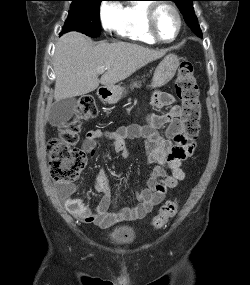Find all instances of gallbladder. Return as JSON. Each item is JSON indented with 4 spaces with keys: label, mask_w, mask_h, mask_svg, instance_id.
Returning a JSON list of instances; mask_svg holds the SVG:
<instances>
[{
    "label": "gallbladder",
    "mask_w": 250,
    "mask_h": 285,
    "mask_svg": "<svg viewBox=\"0 0 250 285\" xmlns=\"http://www.w3.org/2000/svg\"><path fill=\"white\" fill-rule=\"evenodd\" d=\"M76 108L75 98L57 101L49 110L48 120L52 126H59L69 121Z\"/></svg>",
    "instance_id": "obj_1"
}]
</instances>
